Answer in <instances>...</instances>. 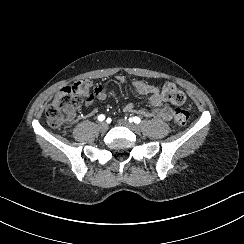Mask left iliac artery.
<instances>
[{"instance_id": "1", "label": "left iliac artery", "mask_w": 244, "mask_h": 244, "mask_svg": "<svg viewBox=\"0 0 244 244\" xmlns=\"http://www.w3.org/2000/svg\"><path fill=\"white\" fill-rule=\"evenodd\" d=\"M129 121H134V123H140L141 122V119L137 116L133 117V118H130Z\"/></svg>"}]
</instances>
